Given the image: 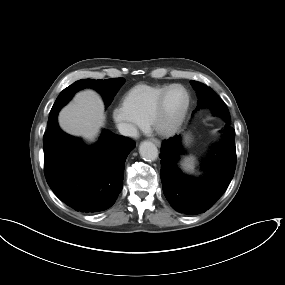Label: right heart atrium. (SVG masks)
I'll return each mask as SVG.
<instances>
[{
  "instance_id": "obj_1",
  "label": "right heart atrium",
  "mask_w": 285,
  "mask_h": 285,
  "mask_svg": "<svg viewBox=\"0 0 285 285\" xmlns=\"http://www.w3.org/2000/svg\"><path fill=\"white\" fill-rule=\"evenodd\" d=\"M111 116L118 132L127 137L135 136L138 130L144 125L143 122L134 116L124 102H121L112 109Z\"/></svg>"
}]
</instances>
